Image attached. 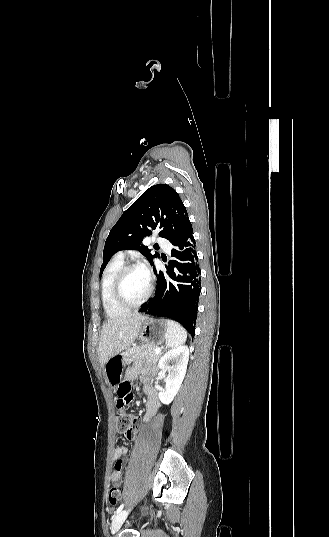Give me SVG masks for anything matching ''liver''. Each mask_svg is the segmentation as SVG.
I'll return each instance as SVG.
<instances>
[{"mask_svg":"<svg viewBox=\"0 0 329 537\" xmlns=\"http://www.w3.org/2000/svg\"><path fill=\"white\" fill-rule=\"evenodd\" d=\"M144 319L143 316L135 313L126 317L108 319L103 324L98 347L99 362L102 368L111 357L132 345Z\"/></svg>","mask_w":329,"mask_h":537,"instance_id":"liver-1","label":"liver"}]
</instances>
